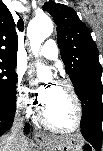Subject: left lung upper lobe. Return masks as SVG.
Here are the masks:
<instances>
[{"label":"left lung upper lobe","instance_id":"5c2ea615","mask_svg":"<svg viewBox=\"0 0 103 151\" xmlns=\"http://www.w3.org/2000/svg\"><path fill=\"white\" fill-rule=\"evenodd\" d=\"M57 25V40L66 72L74 88L89 72L102 71L98 49L89 28L79 19L76 12L63 4L49 1L43 5Z\"/></svg>","mask_w":103,"mask_h":151}]
</instances>
